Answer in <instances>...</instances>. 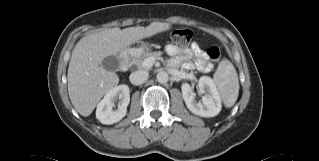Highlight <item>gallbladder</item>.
Instances as JSON below:
<instances>
[{
    "label": "gallbladder",
    "instance_id": "gallbladder-1",
    "mask_svg": "<svg viewBox=\"0 0 319 161\" xmlns=\"http://www.w3.org/2000/svg\"><path fill=\"white\" fill-rule=\"evenodd\" d=\"M102 66L108 71H117L119 69V59L116 56H108L103 60Z\"/></svg>",
    "mask_w": 319,
    "mask_h": 161
}]
</instances>
